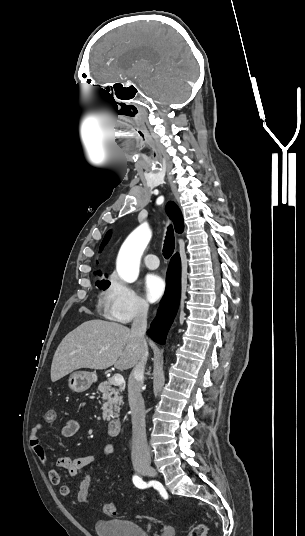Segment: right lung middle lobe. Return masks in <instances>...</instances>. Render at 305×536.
<instances>
[{"label":"right lung middle lobe","mask_w":305,"mask_h":536,"mask_svg":"<svg viewBox=\"0 0 305 536\" xmlns=\"http://www.w3.org/2000/svg\"><path fill=\"white\" fill-rule=\"evenodd\" d=\"M96 285H97L100 289L105 290L106 288L109 287L110 282H109L108 280H106V279H103V280H101V281H97V282H96Z\"/></svg>","instance_id":"dd1d6c3e"}]
</instances>
